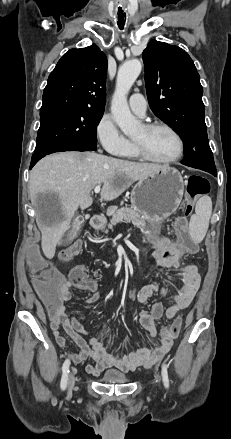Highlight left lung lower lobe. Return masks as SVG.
I'll use <instances>...</instances> for the list:
<instances>
[{
	"label": "left lung lower lobe",
	"instance_id": "1",
	"mask_svg": "<svg viewBox=\"0 0 231 439\" xmlns=\"http://www.w3.org/2000/svg\"><path fill=\"white\" fill-rule=\"evenodd\" d=\"M198 169L204 170L206 172L211 173L214 176H217L216 170H209V169H204V168H198Z\"/></svg>",
	"mask_w": 231,
	"mask_h": 439
}]
</instances>
